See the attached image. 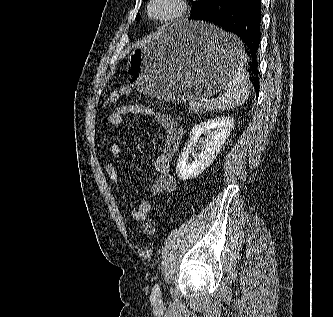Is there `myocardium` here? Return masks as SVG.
I'll use <instances>...</instances> for the list:
<instances>
[{
  "label": "myocardium",
  "instance_id": "f54148a6",
  "mask_svg": "<svg viewBox=\"0 0 333 317\" xmlns=\"http://www.w3.org/2000/svg\"><path fill=\"white\" fill-rule=\"evenodd\" d=\"M160 2H167L171 5V10L166 14H157L154 12V6ZM187 0H149L146 6L147 17L157 23L171 24L180 20L187 12Z\"/></svg>",
  "mask_w": 333,
  "mask_h": 317
}]
</instances>
